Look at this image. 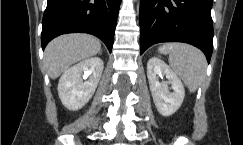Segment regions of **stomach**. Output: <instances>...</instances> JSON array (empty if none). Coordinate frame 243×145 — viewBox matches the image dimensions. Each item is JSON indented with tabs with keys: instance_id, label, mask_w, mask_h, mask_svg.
<instances>
[{
	"instance_id": "1",
	"label": "stomach",
	"mask_w": 243,
	"mask_h": 145,
	"mask_svg": "<svg viewBox=\"0 0 243 145\" xmlns=\"http://www.w3.org/2000/svg\"><path fill=\"white\" fill-rule=\"evenodd\" d=\"M169 51H170V47H169V46H163V47L160 48V52H161V53L166 54V53H168Z\"/></svg>"
}]
</instances>
